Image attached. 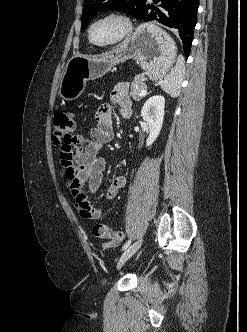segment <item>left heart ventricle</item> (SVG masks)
Returning <instances> with one entry per match:
<instances>
[{
	"label": "left heart ventricle",
	"instance_id": "b2bd125f",
	"mask_svg": "<svg viewBox=\"0 0 247 332\" xmlns=\"http://www.w3.org/2000/svg\"><path fill=\"white\" fill-rule=\"evenodd\" d=\"M122 24L115 19H106L94 25L91 36L96 43H107L116 39L122 32Z\"/></svg>",
	"mask_w": 247,
	"mask_h": 332
}]
</instances>
